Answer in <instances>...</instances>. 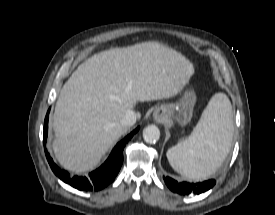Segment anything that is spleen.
I'll return each mask as SVG.
<instances>
[{"label":"spleen","mask_w":275,"mask_h":215,"mask_svg":"<svg viewBox=\"0 0 275 215\" xmlns=\"http://www.w3.org/2000/svg\"><path fill=\"white\" fill-rule=\"evenodd\" d=\"M234 131L232 106L223 93L215 94L191 135L167 151L172 168L181 175L203 180L227 157Z\"/></svg>","instance_id":"1"}]
</instances>
